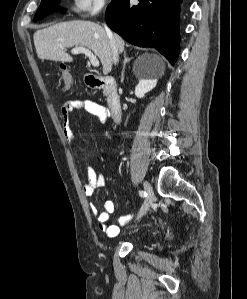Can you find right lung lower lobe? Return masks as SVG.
Wrapping results in <instances>:
<instances>
[{
    "label": "right lung lower lobe",
    "instance_id": "right-lung-lower-lobe-1",
    "mask_svg": "<svg viewBox=\"0 0 247 299\" xmlns=\"http://www.w3.org/2000/svg\"><path fill=\"white\" fill-rule=\"evenodd\" d=\"M113 0L106 10L108 26L129 43L156 48L171 65L179 51L182 0Z\"/></svg>",
    "mask_w": 247,
    "mask_h": 299
}]
</instances>
